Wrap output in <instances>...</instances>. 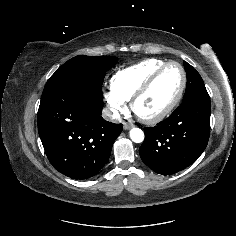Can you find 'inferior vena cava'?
Listing matches in <instances>:
<instances>
[{
  "label": "inferior vena cava",
  "mask_w": 236,
  "mask_h": 236,
  "mask_svg": "<svg viewBox=\"0 0 236 236\" xmlns=\"http://www.w3.org/2000/svg\"><path fill=\"white\" fill-rule=\"evenodd\" d=\"M103 118L106 120L115 121L119 119V115L116 112H113L110 108H105L102 114Z\"/></svg>",
  "instance_id": "obj_1"
}]
</instances>
